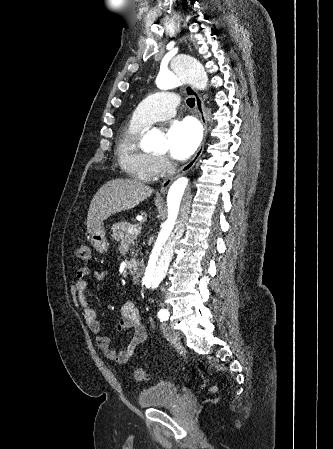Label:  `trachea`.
<instances>
[{"label":"trachea","mask_w":333,"mask_h":449,"mask_svg":"<svg viewBox=\"0 0 333 449\" xmlns=\"http://www.w3.org/2000/svg\"><path fill=\"white\" fill-rule=\"evenodd\" d=\"M187 105H188L189 107H194V105H195V99H194V98H189V99H187Z\"/></svg>","instance_id":"trachea-1"}]
</instances>
